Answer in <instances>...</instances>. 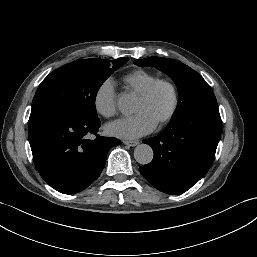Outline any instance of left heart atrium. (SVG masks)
<instances>
[{
    "mask_svg": "<svg viewBox=\"0 0 257 257\" xmlns=\"http://www.w3.org/2000/svg\"><path fill=\"white\" fill-rule=\"evenodd\" d=\"M156 125L147 114L141 112L109 123L106 132L122 139H136L152 132Z\"/></svg>",
    "mask_w": 257,
    "mask_h": 257,
    "instance_id": "left-heart-atrium-1",
    "label": "left heart atrium"
}]
</instances>
